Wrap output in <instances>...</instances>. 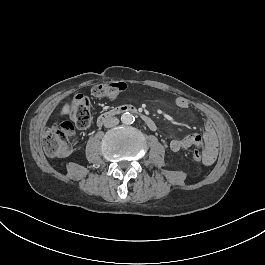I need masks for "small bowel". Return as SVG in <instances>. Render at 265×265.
I'll return each mask as SVG.
<instances>
[{"label": "small bowel", "mask_w": 265, "mask_h": 265, "mask_svg": "<svg viewBox=\"0 0 265 265\" xmlns=\"http://www.w3.org/2000/svg\"><path fill=\"white\" fill-rule=\"evenodd\" d=\"M174 102L175 105L181 110H186L190 107L189 101L184 97H177L175 98ZM202 123L204 127L203 138L206 144L207 152V159L205 160L204 164L212 165L215 162L218 153L216 136L212 127V123L208 118L203 119ZM200 140L201 137L199 135H188L181 139H172L169 143V148L173 152H178L199 143Z\"/></svg>", "instance_id": "1"}]
</instances>
